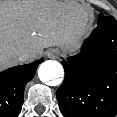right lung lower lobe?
I'll return each mask as SVG.
<instances>
[{
	"label": "right lung lower lobe",
	"instance_id": "98d812e1",
	"mask_svg": "<svg viewBox=\"0 0 117 117\" xmlns=\"http://www.w3.org/2000/svg\"><path fill=\"white\" fill-rule=\"evenodd\" d=\"M42 59L0 73V117H17L23 104L25 85L33 78Z\"/></svg>",
	"mask_w": 117,
	"mask_h": 117
}]
</instances>
